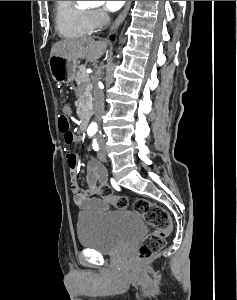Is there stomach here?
Returning <instances> with one entry per match:
<instances>
[{"mask_svg": "<svg viewBox=\"0 0 237 300\" xmlns=\"http://www.w3.org/2000/svg\"><path fill=\"white\" fill-rule=\"evenodd\" d=\"M50 73L57 83H72L76 75L77 61L71 57L52 55L48 61Z\"/></svg>", "mask_w": 237, "mask_h": 300, "instance_id": "1", "label": "stomach"}]
</instances>
